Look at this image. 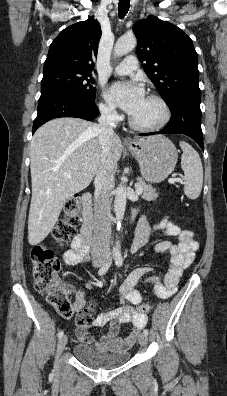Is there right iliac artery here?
Here are the masks:
<instances>
[{
    "label": "right iliac artery",
    "mask_w": 227,
    "mask_h": 396,
    "mask_svg": "<svg viewBox=\"0 0 227 396\" xmlns=\"http://www.w3.org/2000/svg\"><path fill=\"white\" fill-rule=\"evenodd\" d=\"M111 262H112V260L110 259L106 264H104V265L99 269V271H98V275H99V276L104 275V274L108 271V269H109L110 266H111ZM63 334H64V332H63V331H60V332L58 333V338H61V337L63 336Z\"/></svg>",
    "instance_id": "1"
}]
</instances>
